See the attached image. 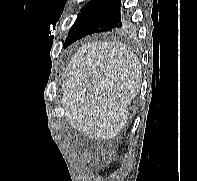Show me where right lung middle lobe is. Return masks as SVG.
I'll list each match as a JSON object with an SVG mask.
<instances>
[{"label": "right lung middle lobe", "mask_w": 197, "mask_h": 181, "mask_svg": "<svg viewBox=\"0 0 197 181\" xmlns=\"http://www.w3.org/2000/svg\"><path fill=\"white\" fill-rule=\"evenodd\" d=\"M81 12H83V11H81ZM80 16V14H78V17ZM123 27H126V26H123Z\"/></svg>", "instance_id": "dd1d6c3e"}]
</instances>
